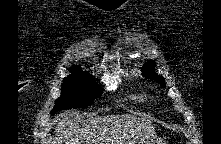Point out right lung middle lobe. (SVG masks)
I'll return each instance as SVG.
<instances>
[{"instance_id":"obj_1","label":"right lung middle lobe","mask_w":221,"mask_h":144,"mask_svg":"<svg viewBox=\"0 0 221 144\" xmlns=\"http://www.w3.org/2000/svg\"><path fill=\"white\" fill-rule=\"evenodd\" d=\"M62 83L61 96L56 100L51 114L68 108L87 107L102 94L96 81L80 69H74Z\"/></svg>"}]
</instances>
